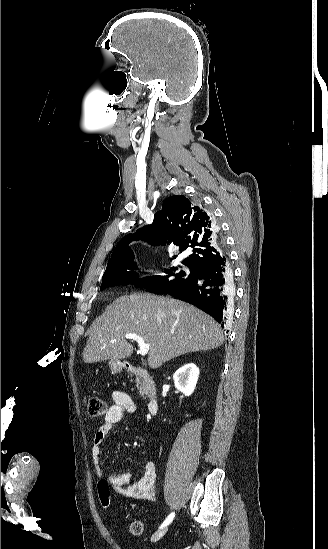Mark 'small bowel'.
Instances as JSON below:
<instances>
[{
	"label": "small bowel",
	"instance_id": "c3829d8e",
	"mask_svg": "<svg viewBox=\"0 0 328 549\" xmlns=\"http://www.w3.org/2000/svg\"><path fill=\"white\" fill-rule=\"evenodd\" d=\"M113 404L107 410L102 425L96 431L92 448L91 457L95 467L96 474L102 475V443L111 429L119 423L127 414L136 410V405L132 398L123 391H113ZM132 472L112 474L108 477V483L120 495L135 500L153 501L155 498L156 468L152 461H145L143 472L140 478L133 482Z\"/></svg>",
	"mask_w": 328,
	"mask_h": 549
}]
</instances>
